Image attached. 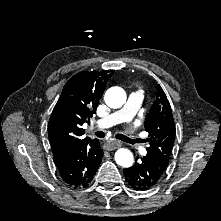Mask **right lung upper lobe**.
<instances>
[{
    "mask_svg": "<svg viewBox=\"0 0 221 221\" xmlns=\"http://www.w3.org/2000/svg\"><path fill=\"white\" fill-rule=\"evenodd\" d=\"M113 73V70L79 72L63 87L48 124L55 162L90 140L89 137H81L85 133L82 125L95 113L106 83Z\"/></svg>",
    "mask_w": 221,
    "mask_h": 221,
    "instance_id": "obj_1",
    "label": "right lung upper lobe"
}]
</instances>
